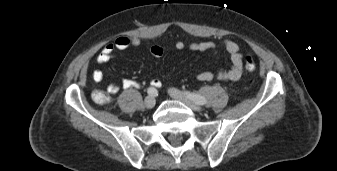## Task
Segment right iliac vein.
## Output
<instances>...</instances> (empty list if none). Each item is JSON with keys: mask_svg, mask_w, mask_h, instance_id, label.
<instances>
[{"mask_svg": "<svg viewBox=\"0 0 337 171\" xmlns=\"http://www.w3.org/2000/svg\"><path fill=\"white\" fill-rule=\"evenodd\" d=\"M156 100L153 96H147L144 100V105L146 108L151 109L155 106Z\"/></svg>", "mask_w": 337, "mask_h": 171, "instance_id": "1", "label": "right iliac vein"}]
</instances>
